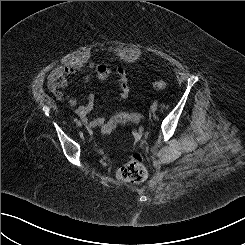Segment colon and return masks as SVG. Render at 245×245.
<instances>
[{
  "label": "colon",
  "mask_w": 245,
  "mask_h": 245,
  "mask_svg": "<svg viewBox=\"0 0 245 245\" xmlns=\"http://www.w3.org/2000/svg\"><path fill=\"white\" fill-rule=\"evenodd\" d=\"M168 82L164 79H158L152 82V88L155 90H164L167 88ZM142 119L140 114L120 113L113 116L102 128L103 133H110L120 123L131 122L138 123ZM147 177V170L143 159L139 154H134L128 162H126L117 171V178L123 182L136 184L143 182Z\"/></svg>",
  "instance_id": "colon-1"
}]
</instances>
